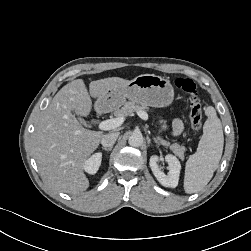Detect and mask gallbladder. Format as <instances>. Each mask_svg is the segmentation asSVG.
Wrapping results in <instances>:
<instances>
[{"label": "gallbladder", "instance_id": "gallbladder-1", "mask_svg": "<svg viewBox=\"0 0 251 251\" xmlns=\"http://www.w3.org/2000/svg\"><path fill=\"white\" fill-rule=\"evenodd\" d=\"M79 121L82 123V124H86V122H85V120L84 119H82V118H79Z\"/></svg>", "mask_w": 251, "mask_h": 251}]
</instances>
